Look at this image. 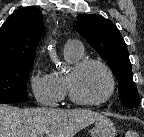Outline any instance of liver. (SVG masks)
Segmentation results:
<instances>
[{
    "mask_svg": "<svg viewBox=\"0 0 144 137\" xmlns=\"http://www.w3.org/2000/svg\"><path fill=\"white\" fill-rule=\"evenodd\" d=\"M103 118L89 109H19L0 104V137H74Z\"/></svg>",
    "mask_w": 144,
    "mask_h": 137,
    "instance_id": "obj_1",
    "label": "liver"
}]
</instances>
